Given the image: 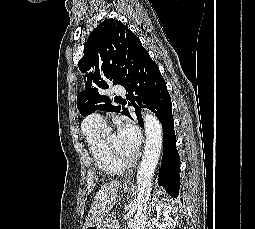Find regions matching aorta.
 Segmentation results:
<instances>
[{"label": "aorta", "mask_w": 255, "mask_h": 229, "mask_svg": "<svg viewBox=\"0 0 255 229\" xmlns=\"http://www.w3.org/2000/svg\"><path fill=\"white\" fill-rule=\"evenodd\" d=\"M143 119L146 140L144 153L137 172V212L132 229H145L152 179L163 143L162 125L158 118L152 112L145 110Z\"/></svg>", "instance_id": "762f6f07"}]
</instances>
